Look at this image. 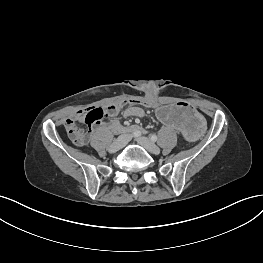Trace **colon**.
I'll return each instance as SVG.
<instances>
[{
	"label": "colon",
	"mask_w": 263,
	"mask_h": 263,
	"mask_svg": "<svg viewBox=\"0 0 263 263\" xmlns=\"http://www.w3.org/2000/svg\"><path fill=\"white\" fill-rule=\"evenodd\" d=\"M128 103L151 105L153 104V101L151 100H146V101L131 100V101H128ZM120 106H122V104H113V105L107 106L105 109L90 108L84 111V114L81 120H83L89 128H93L97 124H99L104 118L111 116L116 111V109L119 108ZM64 126H65V129H66V132L69 138L75 144L83 145L87 142L88 140L87 132L76 123L75 119H72V118L67 119Z\"/></svg>",
	"instance_id": "colon-1"
}]
</instances>
